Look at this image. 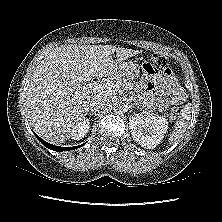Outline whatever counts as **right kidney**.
<instances>
[{
    "instance_id": "ca27d5eb",
    "label": "right kidney",
    "mask_w": 222,
    "mask_h": 222,
    "mask_svg": "<svg viewBox=\"0 0 222 222\" xmlns=\"http://www.w3.org/2000/svg\"><path fill=\"white\" fill-rule=\"evenodd\" d=\"M88 130L89 120L84 118L72 127L70 138L73 140H80L87 134Z\"/></svg>"
}]
</instances>
